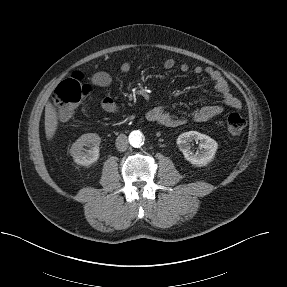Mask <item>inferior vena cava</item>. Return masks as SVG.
<instances>
[{"instance_id": "1", "label": "inferior vena cava", "mask_w": 287, "mask_h": 287, "mask_svg": "<svg viewBox=\"0 0 287 287\" xmlns=\"http://www.w3.org/2000/svg\"><path fill=\"white\" fill-rule=\"evenodd\" d=\"M116 148L119 151H126L128 148V139L125 134H120L116 139Z\"/></svg>"}]
</instances>
